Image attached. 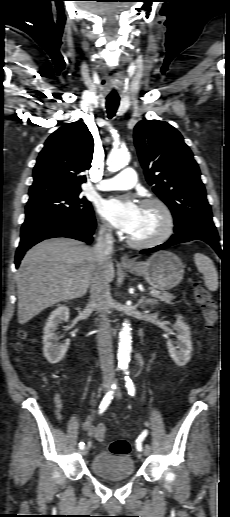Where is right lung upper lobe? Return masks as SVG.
<instances>
[{
	"label": "right lung upper lobe",
	"mask_w": 230,
	"mask_h": 517,
	"mask_svg": "<svg viewBox=\"0 0 230 517\" xmlns=\"http://www.w3.org/2000/svg\"><path fill=\"white\" fill-rule=\"evenodd\" d=\"M93 137L84 123L66 124L52 133L37 158L29 200L81 190V172L91 167Z\"/></svg>",
	"instance_id": "cb5924a9"
}]
</instances>
